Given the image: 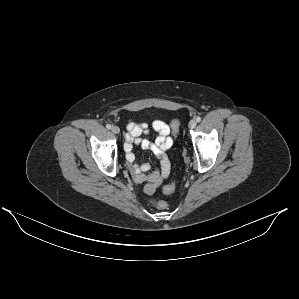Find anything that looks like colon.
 <instances>
[{
    "label": "colon",
    "instance_id": "1",
    "mask_svg": "<svg viewBox=\"0 0 299 299\" xmlns=\"http://www.w3.org/2000/svg\"><path fill=\"white\" fill-rule=\"evenodd\" d=\"M179 125H180V122L178 119H175L171 122V129L174 133H176L178 131ZM174 190H175V185L173 183L168 184L163 188V192L166 195L172 194L174 192ZM152 204L157 209H160V210H166L169 207V204L164 200H153Z\"/></svg>",
    "mask_w": 299,
    "mask_h": 299
}]
</instances>
